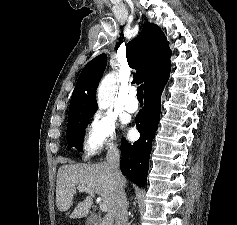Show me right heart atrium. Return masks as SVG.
Listing matches in <instances>:
<instances>
[{
    "mask_svg": "<svg viewBox=\"0 0 237 225\" xmlns=\"http://www.w3.org/2000/svg\"><path fill=\"white\" fill-rule=\"evenodd\" d=\"M82 147L87 156L117 147V127L113 120L97 113L85 125Z\"/></svg>",
    "mask_w": 237,
    "mask_h": 225,
    "instance_id": "obj_1",
    "label": "right heart atrium"
}]
</instances>
